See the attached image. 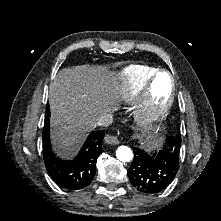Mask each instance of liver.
<instances>
[{"label": "liver", "instance_id": "1", "mask_svg": "<svg viewBox=\"0 0 221 221\" xmlns=\"http://www.w3.org/2000/svg\"><path fill=\"white\" fill-rule=\"evenodd\" d=\"M122 85L106 66L78 65L61 69L49 87L52 143L68 157L79 148L104 113L118 110Z\"/></svg>", "mask_w": 221, "mask_h": 221}]
</instances>
